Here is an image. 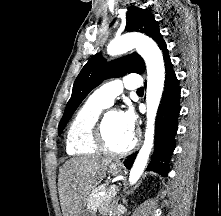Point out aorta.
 I'll return each mask as SVG.
<instances>
[{
	"mask_svg": "<svg viewBox=\"0 0 221 216\" xmlns=\"http://www.w3.org/2000/svg\"><path fill=\"white\" fill-rule=\"evenodd\" d=\"M136 48L147 67V123L145 140L130 171L129 182L134 184L142 175L154 142V124L157 110L163 93L165 67L162 53L157 44L149 37L128 33L115 37L108 45L107 52L111 56L124 54Z\"/></svg>",
	"mask_w": 221,
	"mask_h": 216,
	"instance_id": "aorta-1",
	"label": "aorta"
}]
</instances>
